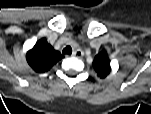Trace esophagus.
I'll use <instances>...</instances> for the list:
<instances>
[{"label":"esophagus","instance_id":"obj_1","mask_svg":"<svg viewBox=\"0 0 151 114\" xmlns=\"http://www.w3.org/2000/svg\"><path fill=\"white\" fill-rule=\"evenodd\" d=\"M72 55L77 58H82L84 55V52L81 49H77L72 53Z\"/></svg>","mask_w":151,"mask_h":114}]
</instances>
